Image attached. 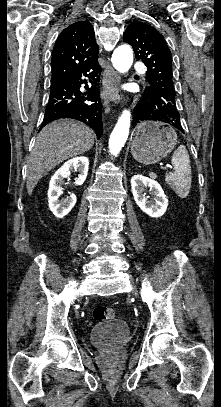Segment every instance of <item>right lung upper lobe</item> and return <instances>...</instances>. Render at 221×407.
Here are the masks:
<instances>
[{
	"mask_svg": "<svg viewBox=\"0 0 221 407\" xmlns=\"http://www.w3.org/2000/svg\"><path fill=\"white\" fill-rule=\"evenodd\" d=\"M99 46L88 21H78L65 28L53 48L51 83L88 66L98 58Z\"/></svg>",
	"mask_w": 221,
	"mask_h": 407,
	"instance_id": "obj_1",
	"label": "right lung upper lobe"
}]
</instances>
